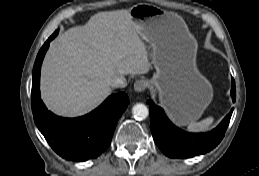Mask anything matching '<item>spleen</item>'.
Wrapping results in <instances>:
<instances>
[{
    "instance_id": "3e777b00",
    "label": "spleen",
    "mask_w": 259,
    "mask_h": 176,
    "mask_svg": "<svg viewBox=\"0 0 259 176\" xmlns=\"http://www.w3.org/2000/svg\"><path fill=\"white\" fill-rule=\"evenodd\" d=\"M214 118L213 117H208L200 122H192L187 126V130L189 132H194V133H200L207 131L210 126L213 124Z\"/></svg>"
}]
</instances>
